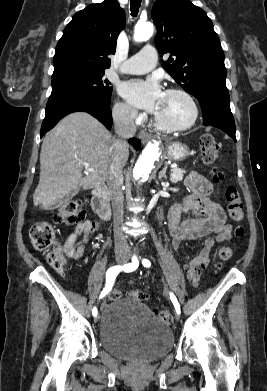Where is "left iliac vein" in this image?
Returning a JSON list of instances; mask_svg holds the SVG:
<instances>
[{
  "label": "left iliac vein",
  "instance_id": "1",
  "mask_svg": "<svg viewBox=\"0 0 267 391\" xmlns=\"http://www.w3.org/2000/svg\"><path fill=\"white\" fill-rule=\"evenodd\" d=\"M175 318H176L177 321H179V315H178V313L175 314Z\"/></svg>",
  "mask_w": 267,
  "mask_h": 391
}]
</instances>
